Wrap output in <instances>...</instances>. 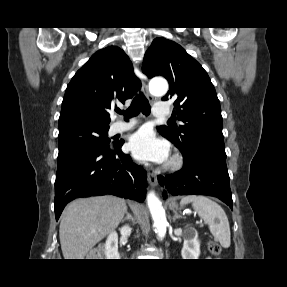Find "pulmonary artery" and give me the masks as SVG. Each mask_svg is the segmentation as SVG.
I'll return each mask as SVG.
<instances>
[{
  "label": "pulmonary artery",
  "mask_w": 287,
  "mask_h": 287,
  "mask_svg": "<svg viewBox=\"0 0 287 287\" xmlns=\"http://www.w3.org/2000/svg\"><path fill=\"white\" fill-rule=\"evenodd\" d=\"M170 114V110L168 105L156 103L153 107V115L158 117H165ZM137 121L135 119H131L127 122L117 121L112 126L113 133H120L126 130L131 129L136 125Z\"/></svg>",
  "instance_id": "obj_1"
}]
</instances>
